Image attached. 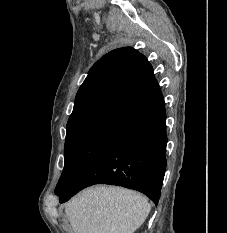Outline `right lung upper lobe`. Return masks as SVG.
Segmentation results:
<instances>
[{
    "label": "right lung upper lobe",
    "mask_w": 227,
    "mask_h": 233,
    "mask_svg": "<svg viewBox=\"0 0 227 233\" xmlns=\"http://www.w3.org/2000/svg\"><path fill=\"white\" fill-rule=\"evenodd\" d=\"M164 106L151 64L135 49L119 48L90 69L77 92L67 134L83 130L118 134Z\"/></svg>",
    "instance_id": "obj_1"
}]
</instances>
